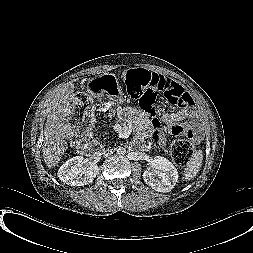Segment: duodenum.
<instances>
[{"mask_svg":"<svg viewBox=\"0 0 253 253\" xmlns=\"http://www.w3.org/2000/svg\"><path fill=\"white\" fill-rule=\"evenodd\" d=\"M100 151L99 146L91 141H87L81 146V152L88 156H96Z\"/></svg>","mask_w":253,"mask_h":253,"instance_id":"duodenum-1","label":"duodenum"}]
</instances>
